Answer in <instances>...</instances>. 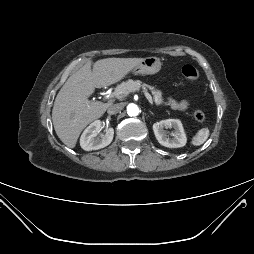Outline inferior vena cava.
Wrapping results in <instances>:
<instances>
[{
	"mask_svg": "<svg viewBox=\"0 0 254 254\" xmlns=\"http://www.w3.org/2000/svg\"><path fill=\"white\" fill-rule=\"evenodd\" d=\"M122 109H123V105L121 103H117V104L110 105L108 107L107 112L110 115H114V114L121 112Z\"/></svg>",
	"mask_w": 254,
	"mask_h": 254,
	"instance_id": "obj_1",
	"label": "inferior vena cava"
}]
</instances>
